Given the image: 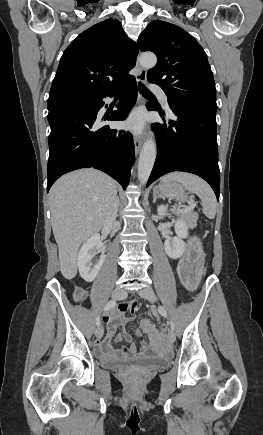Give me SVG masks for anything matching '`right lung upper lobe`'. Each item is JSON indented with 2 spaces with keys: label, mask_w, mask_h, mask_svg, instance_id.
<instances>
[{
  "label": "right lung upper lobe",
  "mask_w": 263,
  "mask_h": 435,
  "mask_svg": "<svg viewBox=\"0 0 263 435\" xmlns=\"http://www.w3.org/2000/svg\"><path fill=\"white\" fill-rule=\"evenodd\" d=\"M138 48L118 20L107 19L82 32L64 51L48 106L90 100L114 91L134 76Z\"/></svg>",
  "instance_id": "1"
}]
</instances>
